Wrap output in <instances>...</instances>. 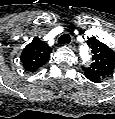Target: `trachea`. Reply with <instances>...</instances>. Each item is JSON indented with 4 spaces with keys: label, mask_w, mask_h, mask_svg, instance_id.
Returning <instances> with one entry per match:
<instances>
[{
    "label": "trachea",
    "mask_w": 115,
    "mask_h": 119,
    "mask_svg": "<svg viewBox=\"0 0 115 119\" xmlns=\"http://www.w3.org/2000/svg\"><path fill=\"white\" fill-rule=\"evenodd\" d=\"M70 41H71L70 35L65 33L59 37L58 44L59 45L68 44Z\"/></svg>",
    "instance_id": "1"
}]
</instances>
